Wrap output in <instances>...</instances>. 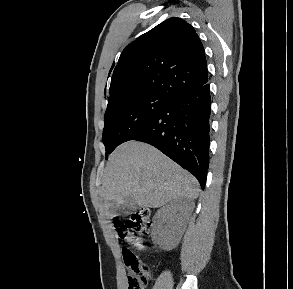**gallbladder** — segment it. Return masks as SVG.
Returning a JSON list of instances; mask_svg holds the SVG:
<instances>
[{
	"mask_svg": "<svg viewBox=\"0 0 293 289\" xmlns=\"http://www.w3.org/2000/svg\"><path fill=\"white\" fill-rule=\"evenodd\" d=\"M137 208L135 200L131 196H126L120 204L112 205L108 212L111 216H127Z\"/></svg>",
	"mask_w": 293,
	"mask_h": 289,
	"instance_id": "gallbladder-1",
	"label": "gallbladder"
}]
</instances>
